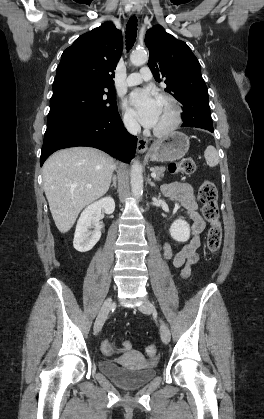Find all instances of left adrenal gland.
<instances>
[{"label": "left adrenal gland", "mask_w": 264, "mask_h": 419, "mask_svg": "<svg viewBox=\"0 0 264 419\" xmlns=\"http://www.w3.org/2000/svg\"><path fill=\"white\" fill-rule=\"evenodd\" d=\"M148 183L150 184V186H153V187H155V184H154V182H151V179H150V178H148Z\"/></svg>", "instance_id": "a2214340"}]
</instances>
